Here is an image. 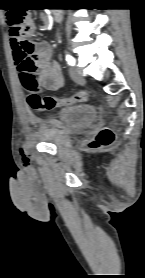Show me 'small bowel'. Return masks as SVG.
<instances>
[{"instance_id": "c3829d8e", "label": "small bowel", "mask_w": 145, "mask_h": 278, "mask_svg": "<svg viewBox=\"0 0 145 278\" xmlns=\"http://www.w3.org/2000/svg\"><path fill=\"white\" fill-rule=\"evenodd\" d=\"M46 20V16H42ZM34 24L31 20L28 33L32 34ZM11 51L15 68L22 80L23 76L33 73L36 69L40 71L42 86L50 91H56L63 85L64 79L61 68L58 63L49 61L50 48L45 42L37 44L36 56L33 57L31 52H27L21 48L20 39L11 38ZM38 119L34 115H30V122L36 123Z\"/></svg>"}]
</instances>
